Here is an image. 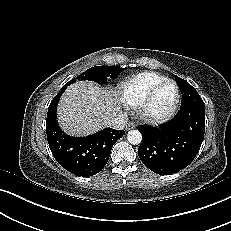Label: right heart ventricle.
I'll return each instance as SVG.
<instances>
[{"mask_svg":"<svg viewBox=\"0 0 231 231\" xmlns=\"http://www.w3.org/2000/svg\"><path fill=\"white\" fill-rule=\"evenodd\" d=\"M163 79L154 72H142L131 77L121 87L124 101L131 107L138 106L149 90Z\"/></svg>","mask_w":231,"mask_h":231,"instance_id":"obj_1","label":"right heart ventricle"}]
</instances>
